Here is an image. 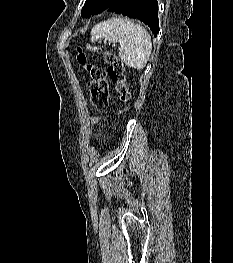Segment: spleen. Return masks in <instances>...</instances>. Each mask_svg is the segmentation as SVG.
<instances>
[{
  "label": "spleen",
  "mask_w": 233,
  "mask_h": 263,
  "mask_svg": "<svg viewBox=\"0 0 233 263\" xmlns=\"http://www.w3.org/2000/svg\"><path fill=\"white\" fill-rule=\"evenodd\" d=\"M107 39L119 43V56L128 66L143 69L151 55L152 42L147 30L128 18L114 17L102 21L91 30V41Z\"/></svg>",
  "instance_id": "spleen-1"
}]
</instances>
